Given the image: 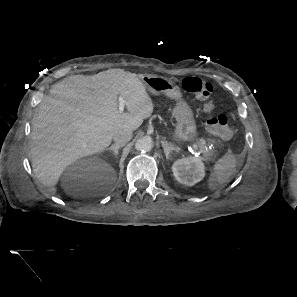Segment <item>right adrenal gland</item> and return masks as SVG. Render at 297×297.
I'll return each instance as SVG.
<instances>
[{
	"mask_svg": "<svg viewBox=\"0 0 297 297\" xmlns=\"http://www.w3.org/2000/svg\"><path fill=\"white\" fill-rule=\"evenodd\" d=\"M120 146H117L116 144H112L109 148H107L106 150L109 151H113L114 156L118 155V150H119Z\"/></svg>",
	"mask_w": 297,
	"mask_h": 297,
	"instance_id": "1",
	"label": "right adrenal gland"
}]
</instances>
